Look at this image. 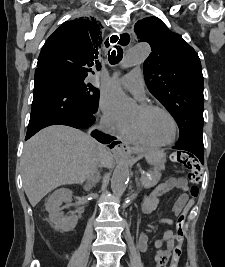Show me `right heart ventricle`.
<instances>
[{
    "instance_id": "obj_1",
    "label": "right heart ventricle",
    "mask_w": 225,
    "mask_h": 267,
    "mask_svg": "<svg viewBox=\"0 0 225 267\" xmlns=\"http://www.w3.org/2000/svg\"><path fill=\"white\" fill-rule=\"evenodd\" d=\"M123 137L133 143L137 144L143 147H149V148H154L152 144H150L137 130L136 126L134 125L133 122H129V127L124 133Z\"/></svg>"
}]
</instances>
